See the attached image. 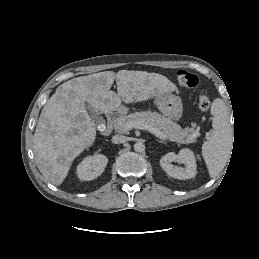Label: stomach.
<instances>
[{"instance_id": "0dacf381", "label": "stomach", "mask_w": 259, "mask_h": 259, "mask_svg": "<svg viewBox=\"0 0 259 259\" xmlns=\"http://www.w3.org/2000/svg\"><path fill=\"white\" fill-rule=\"evenodd\" d=\"M155 104L164 116L174 121L180 120L183 112V107L182 102L178 96H175L171 93L159 95L155 99ZM118 111L120 113H126L128 111V108H126L125 106H120L118 108Z\"/></svg>"}]
</instances>
